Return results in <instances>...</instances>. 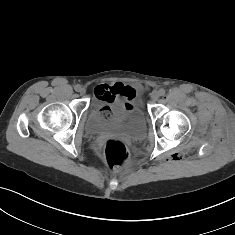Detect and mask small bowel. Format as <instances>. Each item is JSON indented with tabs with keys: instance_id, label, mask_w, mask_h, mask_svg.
<instances>
[{
	"instance_id": "1",
	"label": "small bowel",
	"mask_w": 235,
	"mask_h": 235,
	"mask_svg": "<svg viewBox=\"0 0 235 235\" xmlns=\"http://www.w3.org/2000/svg\"><path fill=\"white\" fill-rule=\"evenodd\" d=\"M139 94V89L125 86L122 83L100 84L94 89L95 98L104 103L116 104L124 101L126 104L134 102ZM136 97L134 98V96Z\"/></svg>"
}]
</instances>
